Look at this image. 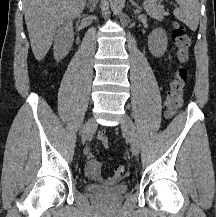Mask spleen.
I'll return each instance as SVG.
<instances>
[{"mask_svg": "<svg viewBox=\"0 0 216 217\" xmlns=\"http://www.w3.org/2000/svg\"><path fill=\"white\" fill-rule=\"evenodd\" d=\"M180 5L173 12L175 18L186 24L192 31H196L199 24V0H176Z\"/></svg>", "mask_w": 216, "mask_h": 217, "instance_id": "spleen-1", "label": "spleen"}]
</instances>
